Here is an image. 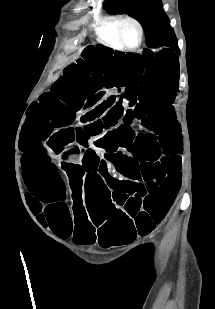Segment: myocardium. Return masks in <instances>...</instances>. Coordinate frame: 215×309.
Returning <instances> with one entry per match:
<instances>
[{"instance_id": "myocardium-1", "label": "myocardium", "mask_w": 215, "mask_h": 309, "mask_svg": "<svg viewBox=\"0 0 215 309\" xmlns=\"http://www.w3.org/2000/svg\"><path fill=\"white\" fill-rule=\"evenodd\" d=\"M126 26H131L135 29L136 31V35H137V40L135 42V44L127 46L126 42H125V36L121 35V30L126 27ZM116 28L117 30V39L119 41V43L123 44L122 47L123 48H138L141 43H142V39H143V29L142 26L140 25V23L129 16H124L122 17V19H118L117 24H116Z\"/></svg>"}]
</instances>
